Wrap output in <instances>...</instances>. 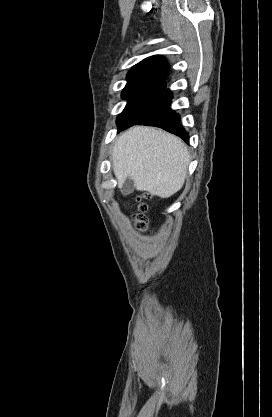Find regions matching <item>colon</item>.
<instances>
[{"instance_id":"1","label":"colon","mask_w":272,"mask_h":417,"mask_svg":"<svg viewBox=\"0 0 272 417\" xmlns=\"http://www.w3.org/2000/svg\"><path fill=\"white\" fill-rule=\"evenodd\" d=\"M146 209H147L146 204L141 202L139 205V212L135 215V218H134L135 225L140 230L147 229L148 227L147 218L145 217Z\"/></svg>"}]
</instances>
